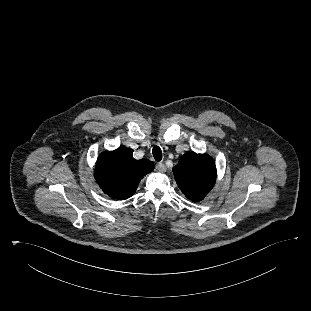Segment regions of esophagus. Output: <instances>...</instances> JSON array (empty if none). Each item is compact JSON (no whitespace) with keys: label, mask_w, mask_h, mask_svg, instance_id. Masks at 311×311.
Returning a JSON list of instances; mask_svg holds the SVG:
<instances>
[{"label":"esophagus","mask_w":311,"mask_h":311,"mask_svg":"<svg viewBox=\"0 0 311 311\" xmlns=\"http://www.w3.org/2000/svg\"><path fill=\"white\" fill-rule=\"evenodd\" d=\"M156 168L161 171V172H165L166 171V166L164 165V163L160 162L156 165Z\"/></svg>","instance_id":"obj_1"}]
</instances>
